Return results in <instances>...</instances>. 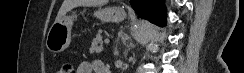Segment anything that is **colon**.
<instances>
[{"instance_id":"1","label":"colon","mask_w":244,"mask_h":73,"mask_svg":"<svg viewBox=\"0 0 244 73\" xmlns=\"http://www.w3.org/2000/svg\"><path fill=\"white\" fill-rule=\"evenodd\" d=\"M73 66L71 63H65L63 64L59 70L58 73H73Z\"/></svg>"}]
</instances>
